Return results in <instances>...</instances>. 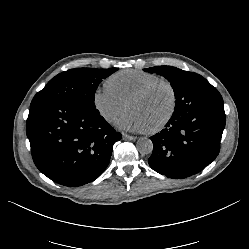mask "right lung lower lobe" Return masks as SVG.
Returning <instances> with one entry per match:
<instances>
[{
  "label": "right lung lower lobe",
  "instance_id": "obj_1",
  "mask_svg": "<svg viewBox=\"0 0 249 249\" xmlns=\"http://www.w3.org/2000/svg\"><path fill=\"white\" fill-rule=\"evenodd\" d=\"M26 132L36 167L71 187L97 179L109 164L113 144L122 137L96 108L71 102L30 107Z\"/></svg>",
  "mask_w": 249,
  "mask_h": 249
}]
</instances>
